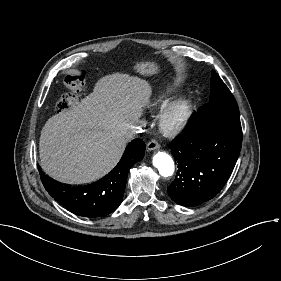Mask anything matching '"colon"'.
Masks as SVG:
<instances>
[{
    "label": "colon",
    "mask_w": 281,
    "mask_h": 281,
    "mask_svg": "<svg viewBox=\"0 0 281 281\" xmlns=\"http://www.w3.org/2000/svg\"><path fill=\"white\" fill-rule=\"evenodd\" d=\"M86 70L79 69L75 73L66 74L63 83L66 91L61 94L57 101L56 109L59 112H67L78 103V92L82 89L86 78Z\"/></svg>",
    "instance_id": "obj_1"
}]
</instances>
